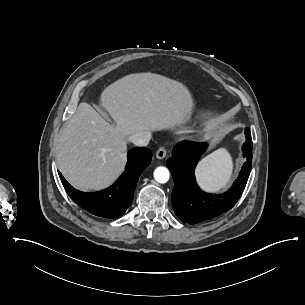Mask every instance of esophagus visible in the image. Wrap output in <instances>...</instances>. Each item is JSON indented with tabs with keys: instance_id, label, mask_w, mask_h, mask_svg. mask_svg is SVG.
<instances>
[{
	"instance_id": "obj_1",
	"label": "esophagus",
	"mask_w": 305,
	"mask_h": 305,
	"mask_svg": "<svg viewBox=\"0 0 305 305\" xmlns=\"http://www.w3.org/2000/svg\"><path fill=\"white\" fill-rule=\"evenodd\" d=\"M165 156H166V149H165V147H160L158 149V151L156 152V157L161 160Z\"/></svg>"
}]
</instances>
